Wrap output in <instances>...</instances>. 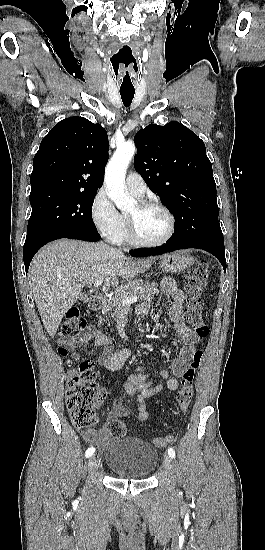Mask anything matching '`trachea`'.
I'll return each mask as SVG.
<instances>
[{"label": "trachea", "instance_id": "1", "mask_svg": "<svg viewBox=\"0 0 265 550\" xmlns=\"http://www.w3.org/2000/svg\"><path fill=\"white\" fill-rule=\"evenodd\" d=\"M120 95L123 101V104L128 107L130 106L133 98H134V92L130 91H120Z\"/></svg>", "mask_w": 265, "mask_h": 550}]
</instances>
